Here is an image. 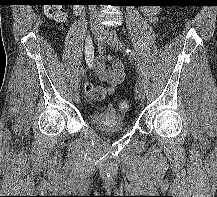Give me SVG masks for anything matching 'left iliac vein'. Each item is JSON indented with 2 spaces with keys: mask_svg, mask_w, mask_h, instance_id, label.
<instances>
[{
  "mask_svg": "<svg viewBox=\"0 0 217 197\" xmlns=\"http://www.w3.org/2000/svg\"><path fill=\"white\" fill-rule=\"evenodd\" d=\"M101 34L103 35V38L106 41V43L110 46H113L111 32H109L106 28H102ZM135 93H136V96L139 100H141V101L144 100V98H145L144 85L139 80H137L136 84H135Z\"/></svg>",
  "mask_w": 217,
  "mask_h": 197,
  "instance_id": "1",
  "label": "left iliac vein"
}]
</instances>
